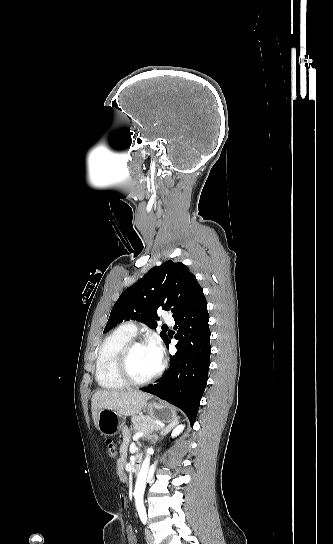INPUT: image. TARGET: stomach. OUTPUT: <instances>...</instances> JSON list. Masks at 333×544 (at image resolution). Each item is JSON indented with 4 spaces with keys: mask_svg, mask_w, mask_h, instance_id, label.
I'll list each match as a JSON object with an SVG mask.
<instances>
[{
    "mask_svg": "<svg viewBox=\"0 0 333 544\" xmlns=\"http://www.w3.org/2000/svg\"><path fill=\"white\" fill-rule=\"evenodd\" d=\"M146 410L151 418L161 422H171L177 419L175 410L163 403L150 402L146 405ZM123 425V418L116 411L105 408L99 411L97 429L102 435L114 436L119 433Z\"/></svg>",
    "mask_w": 333,
    "mask_h": 544,
    "instance_id": "0dacf381",
    "label": "stomach"
}]
</instances>
